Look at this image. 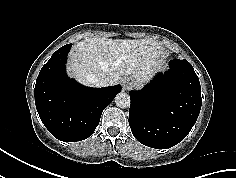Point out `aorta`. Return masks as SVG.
Wrapping results in <instances>:
<instances>
[{"label": "aorta", "mask_w": 236, "mask_h": 178, "mask_svg": "<svg viewBox=\"0 0 236 178\" xmlns=\"http://www.w3.org/2000/svg\"><path fill=\"white\" fill-rule=\"evenodd\" d=\"M130 96L125 92H120L115 97V103L120 108H127L130 106Z\"/></svg>", "instance_id": "1"}]
</instances>
